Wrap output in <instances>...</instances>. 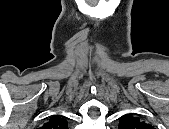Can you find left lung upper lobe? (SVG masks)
Returning a JSON list of instances; mask_svg holds the SVG:
<instances>
[{
    "label": "left lung upper lobe",
    "instance_id": "left-lung-upper-lobe-1",
    "mask_svg": "<svg viewBox=\"0 0 169 129\" xmlns=\"http://www.w3.org/2000/svg\"><path fill=\"white\" fill-rule=\"evenodd\" d=\"M119 129H153V127L140 121L138 117L126 114L120 120Z\"/></svg>",
    "mask_w": 169,
    "mask_h": 129
}]
</instances>
